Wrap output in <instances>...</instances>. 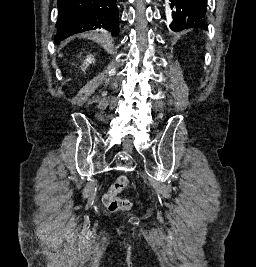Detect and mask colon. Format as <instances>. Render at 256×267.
Wrapping results in <instances>:
<instances>
[{"mask_svg":"<svg viewBox=\"0 0 256 267\" xmlns=\"http://www.w3.org/2000/svg\"><path fill=\"white\" fill-rule=\"evenodd\" d=\"M129 188V180L126 176L118 177L109 187L102 197V201L108 211L118 212L128 209L131 205L129 201L121 198V193Z\"/></svg>","mask_w":256,"mask_h":267,"instance_id":"5ec220e1","label":"colon"}]
</instances>
